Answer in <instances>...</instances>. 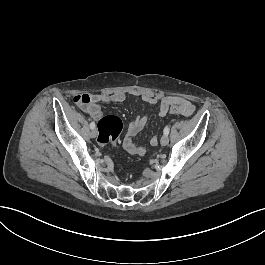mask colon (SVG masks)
<instances>
[{
  "instance_id": "colon-1",
  "label": "colon",
  "mask_w": 265,
  "mask_h": 265,
  "mask_svg": "<svg viewBox=\"0 0 265 265\" xmlns=\"http://www.w3.org/2000/svg\"><path fill=\"white\" fill-rule=\"evenodd\" d=\"M186 101V100H185ZM90 103V98L86 94L74 95L70 99V104L74 108L86 107ZM171 113H184L177 104L174 105L173 101L167 103ZM186 112V111H185ZM123 130L122 120L115 115H104L97 124V142L100 146L104 147L110 143H114L119 138Z\"/></svg>"
}]
</instances>
